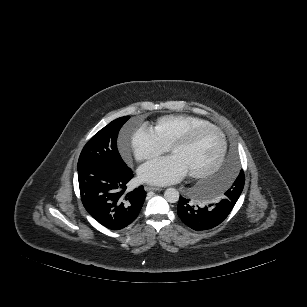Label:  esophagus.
I'll list each match as a JSON object with an SVG mask.
<instances>
[{
	"mask_svg": "<svg viewBox=\"0 0 307 307\" xmlns=\"http://www.w3.org/2000/svg\"><path fill=\"white\" fill-rule=\"evenodd\" d=\"M145 190L146 191H160V190H162V188L156 187V186H146Z\"/></svg>",
	"mask_w": 307,
	"mask_h": 307,
	"instance_id": "obj_1",
	"label": "esophagus"
}]
</instances>
